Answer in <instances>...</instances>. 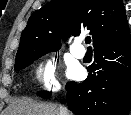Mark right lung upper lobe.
<instances>
[{"label": "right lung upper lobe", "instance_id": "obj_1", "mask_svg": "<svg viewBox=\"0 0 131 115\" xmlns=\"http://www.w3.org/2000/svg\"><path fill=\"white\" fill-rule=\"evenodd\" d=\"M91 30L94 49L130 35L122 0H53L35 11L21 34L16 59L30 51H57L60 38Z\"/></svg>", "mask_w": 131, "mask_h": 115}]
</instances>
